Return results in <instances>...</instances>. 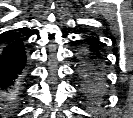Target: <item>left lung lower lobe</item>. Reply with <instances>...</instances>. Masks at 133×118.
<instances>
[{
	"instance_id": "obj_1",
	"label": "left lung lower lobe",
	"mask_w": 133,
	"mask_h": 118,
	"mask_svg": "<svg viewBox=\"0 0 133 118\" xmlns=\"http://www.w3.org/2000/svg\"><path fill=\"white\" fill-rule=\"evenodd\" d=\"M96 39L84 42L81 47L82 88L105 97L104 57Z\"/></svg>"
}]
</instances>
